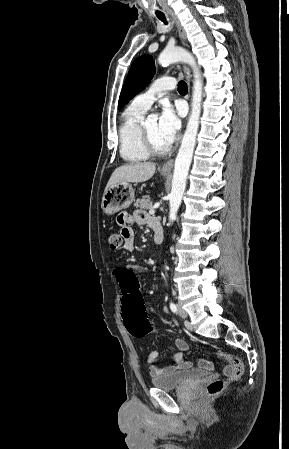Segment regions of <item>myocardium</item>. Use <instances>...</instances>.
I'll return each mask as SVG.
<instances>
[{
    "label": "myocardium",
    "mask_w": 289,
    "mask_h": 449,
    "mask_svg": "<svg viewBox=\"0 0 289 449\" xmlns=\"http://www.w3.org/2000/svg\"><path fill=\"white\" fill-rule=\"evenodd\" d=\"M141 136H142V142H143L144 149L146 150V152L148 153L149 156L162 157V156L169 154L172 150L171 145H169L165 149H158L154 145V143L150 137L149 131L146 127V121L142 122V124H141Z\"/></svg>",
    "instance_id": "myocardium-1"
}]
</instances>
